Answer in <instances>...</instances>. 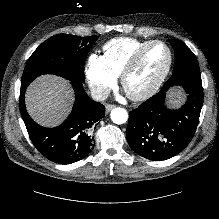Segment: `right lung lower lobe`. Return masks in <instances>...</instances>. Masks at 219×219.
I'll list each match as a JSON object with an SVG mask.
<instances>
[{"label": "right lung lower lobe", "instance_id": "1", "mask_svg": "<svg viewBox=\"0 0 219 219\" xmlns=\"http://www.w3.org/2000/svg\"><path fill=\"white\" fill-rule=\"evenodd\" d=\"M71 84L76 97L74 107L64 123L55 128H44L32 120L24 104L25 89L20 91V112L33 144L46 158L60 164H70L88 155L93 148L88 131L105 116V107L88 97L82 82Z\"/></svg>", "mask_w": 219, "mask_h": 219}]
</instances>
